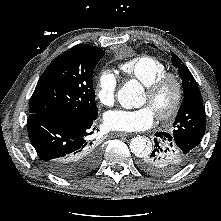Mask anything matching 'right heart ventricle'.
Masks as SVG:
<instances>
[{"mask_svg":"<svg viewBox=\"0 0 221 221\" xmlns=\"http://www.w3.org/2000/svg\"><path fill=\"white\" fill-rule=\"evenodd\" d=\"M120 71L127 77L136 79L144 86L168 72L167 66L159 59L143 55L120 65Z\"/></svg>","mask_w":221,"mask_h":221,"instance_id":"e07e8e85","label":"right heart ventricle"}]
</instances>
